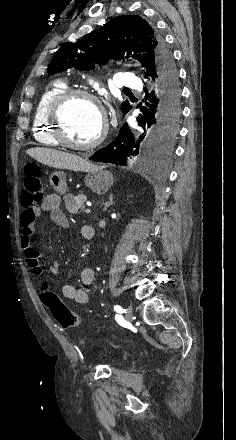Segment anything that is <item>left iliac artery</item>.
I'll use <instances>...</instances> for the list:
<instances>
[{
  "label": "left iliac artery",
  "instance_id": "44dca946",
  "mask_svg": "<svg viewBox=\"0 0 236 440\" xmlns=\"http://www.w3.org/2000/svg\"><path fill=\"white\" fill-rule=\"evenodd\" d=\"M114 310L118 313H125L126 312V310L123 309L120 305H115Z\"/></svg>",
  "mask_w": 236,
  "mask_h": 440
}]
</instances>
